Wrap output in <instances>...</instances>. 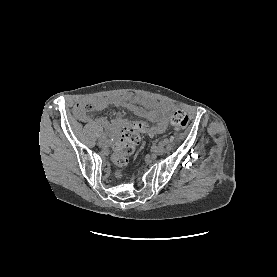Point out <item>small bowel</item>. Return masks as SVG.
Wrapping results in <instances>:
<instances>
[{"instance_id":"obj_1","label":"small bowel","mask_w":277,"mask_h":277,"mask_svg":"<svg viewBox=\"0 0 277 277\" xmlns=\"http://www.w3.org/2000/svg\"><path fill=\"white\" fill-rule=\"evenodd\" d=\"M97 108H104L107 105L121 106L133 113L145 117L153 122L149 129V135L154 136L162 133L166 129L167 116L171 106L164 102L154 101L132 93L118 94L109 98H95L87 101ZM142 105L147 106L145 109ZM78 118L83 122H89L90 116L77 111ZM95 123L113 133H118L126 125V120L122 117H114L107 121L104 118L95 119Z\"/></svg>"}]
</instances>
